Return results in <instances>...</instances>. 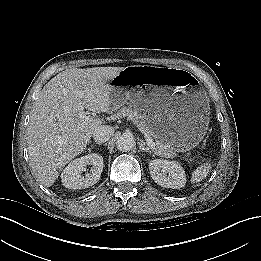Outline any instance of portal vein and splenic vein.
Returning <instances> with one entry per match:
<instances>
[{
  "mask_svg": "<svg viewBox=\"0 0 261 261\" xmlns=\"http://www.w3.org/2000/svg\"><path fill=\"white\" fill-rule=\"evenodd\" d=\"M79 110H80L79 117L83 122L88 123L93 120L92 116H90V115L87 116L85 114L83 105H80ZM144 137H145V141H146L147 145L154 151L155 154H158L157 149H156V144L153 141V139L147 133H144Z\"/></svg>",
  "mask_w": 261,
  "mask_h": 261,
  "instance_id": "portal-vein-and-splenic-vein-1",
  "label": "portal vein and splenic vein"
}]
</instances>
